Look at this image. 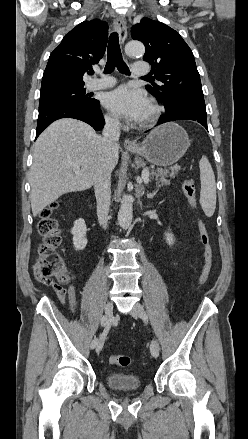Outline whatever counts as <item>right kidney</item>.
<instances>
[{
  "label": "right kidney",
  "mask_w": 248,
  "mask_h": 439,
  "mask_svg": "<svg viewBox=\"0 0 248 439\" xmlns=\"http://www.w3.org/2000/svg\"><path fill=\"white\" fill-rule=\"evenodd\" d=\"M86 224L83 219H78L74 222V226L71 229V234L73 235V245L75 250H83L87 245L86 238Z\"/></svg>",
  "instance_id": "ca27d5eb"
}]
</instances>
